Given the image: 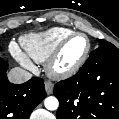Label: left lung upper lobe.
I'll use <instances>...</instances> for the list:
<instances>
[{"instance_id":"left-lung-upper-lobe-1","label":"left lung upper lobe","mask_w":119,"mask_h":119,"mask_svg":"<svg viewBox=\"0 0 119 119\" xmlns=\"http://www.w3.org/2000/svg\"><path fill=\"white\" fill-rule=\"evenodd\" d=\"M98 41H99V47H100L101 45H103L104 43H106V42H107V41L102 40V39H99Z\"/></svg>"}]
</instances>
